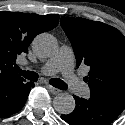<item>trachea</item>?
<instances>
[{
    "label": "trachea",
    "instance_id": "1",
    "mask_svg": "<svg viewBox=\"0 0 125 125\" xmlns=\"http://www.w3.org/2000/svg\"><path fill=\"white\" fill-rule=\"evenodd\" d=\"M14 70L17 73H19L20 75H22L24 78H26L30 81L38 80V74L34 71H23L18 66H15ZM49 82L52 86H54L56 88L64 89V90L67 89V84L59 78L50 79Z\"/></svg>",
    "mask_w": 125,
    "mask_h": 125
}]
</instances>
